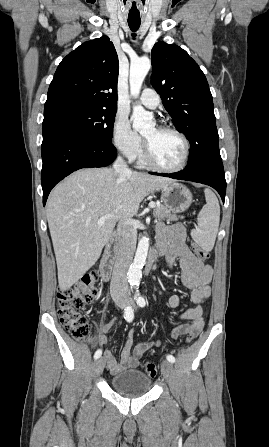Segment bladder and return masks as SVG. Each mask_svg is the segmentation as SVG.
I'll return each mask as SVG.
<instances>
[{"label": "bladder", "mask_w": 269, "mask_h": 447, "mask_svg": "<svg viewBox=\"0 0 269 447\" xmlns=\"http://www.w3.org/2000/svg\"><path fill=\"white\" fill-rule=\"evenodd\" d=\"M112 390L125 397L139 398L149 393L153 386V378L138 370H123L110 378Z\"/></svg>", "instance_id": "obj_1"}]
</instances>
